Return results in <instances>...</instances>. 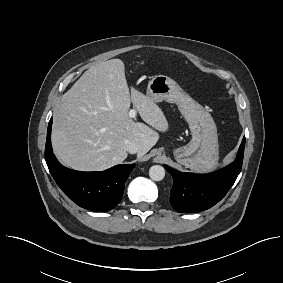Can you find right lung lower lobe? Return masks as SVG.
Listing matches in <instances>:
<instances>
[{"label": "right lung lower lobe", "instance_id": "right-lung-lower-lobe-1", "mask_svg": "<svg viewBox=\"0 0 283 283\" xmlns=\"http://www.w3.org/2000/svg\"><path fill=\"white\" fill-rule=\"evenodd\" d=\"M52 118L48 124L45 160L61 190L77 205L92 211H109L121 200L124 184L135 164L116 165L101 172H80L62 166L52 151Z\"/></svg>", "mask_w": 283, "mask_h": 283}]
</instances>
